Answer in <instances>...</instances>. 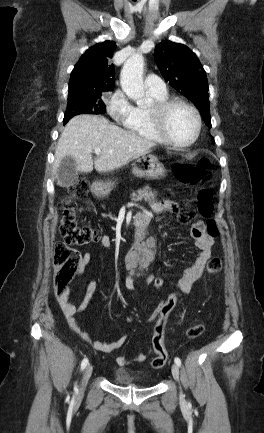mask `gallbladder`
I'll list each match as a JSON object with an SVG mask.
<instances>
[{
  "label": "gallbladder",
  "instance_id": "1",
  "mask_svg": "<svg viewBox=\"0 0 264 433\" xmlns=\"http://www.w3.org/2000/svg\"><path fill=\"white\" fill-rule=\"evenodd\" d=\"M56 177L63 187L73 186L78 181L76 162L71 156H65L57 170Z\"/></svg>",
  "mask_w": 264,
  "mask_h": 433
}]
</instances>
